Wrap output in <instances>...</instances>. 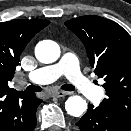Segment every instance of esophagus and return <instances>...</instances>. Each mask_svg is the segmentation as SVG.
<instances>
[{
	"label": "esophagus",
	"mask_w": 131,
	"mask_h": 131,
	"mask_svg": "<svg viewBox=\"0 0 131 131\" xmlns=\"http://www.w3.org/2000/svg\"><path fill=\"white\" fill-rule=\"evenodd\" d=\"M70 94H71L70 92H66V91H54L52 93V96L60 98V97H64V96L70 95Z\"/></svg>",
	"instance_id": "1"
}]
</instances>
